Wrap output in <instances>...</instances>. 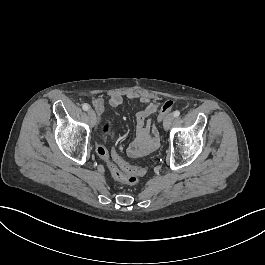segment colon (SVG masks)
<instances>
[{"mask_svg":"<svg viewBox=\"0 0 265 265\" xmlns=\"http://www.w3.org/2000/svg\"><path fill=\"white\" fill-rule=\"evenodd\" d=\"M177 101L169 99L160 108V113L157 114L156 119L159 122L164 121L165 115L170 111V109L177 106ZM112 121L106 120L101 125V136L106 138L109 135L111 129ZM96 151L98 156L106 161L110 172L118 180L124 181L130 185L138 183V181L147 172L146 167H133L132 165L126 163V161L117 153L113 154V160L108 159V150L104 145H97Z\"/></svg>","mask_w":265,"mask_h":265,"instance_id":"1","label":"colon"}]
</instances>
